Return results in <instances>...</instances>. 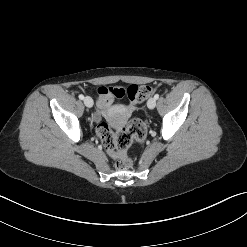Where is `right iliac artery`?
<instances>
[{
  "mask_svg": "<svg viewBox=\"0 0 247 247\" xmlns=\"http://www.w3.org/2000/svg\"><path fill=\"white\" fill-rule=\"evenodd\" d=\"M79 99L83 100L84 96L82 94L79 95Z\"/></svg>",
  "mask_w": 247,
  "mask_h": 247,
  "instance_id": "82829eb1",
  "label": "right iliac artery"
}]
</instances>
